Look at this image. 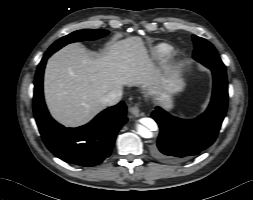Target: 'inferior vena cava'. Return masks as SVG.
<instances>
[{"label": "inferior vena cava", "instance_id": "1", "mask_svg": "<svg viewBox=\"0 0 253 200\" xmlns=\"http://www.w3.org/2000/svg\"><path fill=\"white\" fill-rule=\"evenodd\" d=\"M122 98V90L116 89L109 92L107 95L103 97V103L112 106L117 104Z\"/></svg>", "mask_w": 253, "mask_h": 200}]
</instances>
